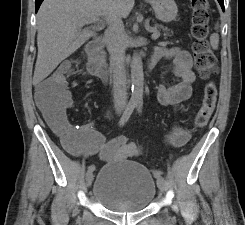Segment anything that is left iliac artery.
I'll return each instance as SVG.
<instances>
[{
    "mask_svg": "<svg viewBox=\"0 0 245 225\" xmlns=\"http://www.w3.org/2000/svg\"><path fill=\"white\" fill-rule=\"evenodd\" d=\"M136 106H137L138 112H141V110H142V102L141 101H138L137 104H136ZM155 177L157 179L161 178L162 177V172L161 171L155 172Z\"/></svg>",
    "mask_w": 245,
    "mask_h": 225,
    "instance_id": "obj_1",
    "label": "left iliac artery"
}]
</instances>
